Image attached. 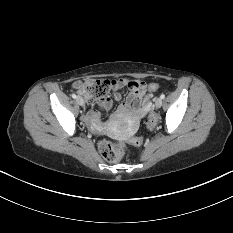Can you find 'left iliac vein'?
<instances>
[{
    "label": "left iliac vein",
    "instance_id": "obj_1",
    "mask_svg": "<svg viewBox=\"0 0 233 233\" xmlns=\"http://www.w3.org/2000/svg\"><path fill=\"white\" fill-rule=\"evenodd\" d=\"M161 106H162V99L157 98L156 101H155V107L160 108Z\"/></svg>",
    "mask_w": 233,
    "mask_h": 233
}]
</instances>
